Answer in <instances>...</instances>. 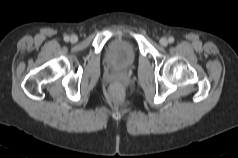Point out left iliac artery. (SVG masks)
<instances>
[{"label":"left iliac artery","mask_w":238,"mask_h":158,"mask_svg":"<svg viewBox=\"0 0 238 158\" xmlns=\"http://www.w3.org/2000/svg\"><path fill=\"white\" fill-rule=\"evenodd\" d=\"M168 40H169L170 43H173V42H174V38H173V37H169Z\"/></svg>","instance_id":"left-iliac-artery-1"}]
</instances>
